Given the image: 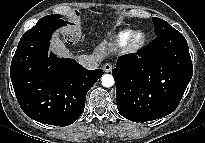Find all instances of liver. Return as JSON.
<instances>
[{"label":"liver","mask_w":205,"mask_h":143,"mask_svg":"<svg viewBox=\"0 0 205 143\" xmlns=\"http://www.w3.org/2000/svg\"><path fill=\"white\" fill-rule=\"evenodd\" d=\"M109 43L107 40H102L96 47H94L92 55L99 59V62L105 58L109 53Z\"/></svg>","instance_id":"6515ba94"}]
</instances>
